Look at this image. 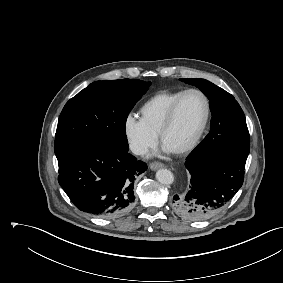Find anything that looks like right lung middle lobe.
Returning <instances> with one entry per match:
<instances>
[{"label":"right lung middle lobe","instance_id":"1","mask_svg":"<svg viewBox=\"0 0 283 283\" xmlns=\"http://www.w3.org/2000/svg\"><path fill=\"white\" fill-rule=\"evenodd\" d=\"M150 84L136 79L96 81L71 98L57 125L54 146L57 159L92 143H108L128 150L126 119Z\"/></svg>","mask_w":283,"mask_h":283}]
</instances>
